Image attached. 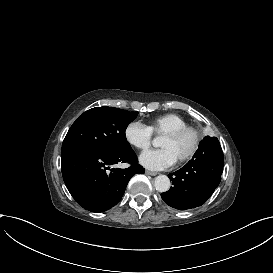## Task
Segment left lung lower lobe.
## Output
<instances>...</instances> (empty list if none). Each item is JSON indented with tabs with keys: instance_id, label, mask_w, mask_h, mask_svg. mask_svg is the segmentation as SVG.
<instances>
[{
	"instance_id": "left-lung-lower-lobe-1",
	"label": "left lung lower lobe",
	"mask_w": 273,
	"mask_h": 273,
	"mask_svg": "<svg viewBox=\"0 0 273 273\" xmlns=\"http://www.w3.org/2000/svg\"><path fill=\"white\" fill-rule=\"evenodd\" d=\"M223 167L224 155L218 139L204 137L193 158L168 175L173 186L161 194L163 201L178 210L201 206L219 185Z\"/></svg>"
}]
</instances>
